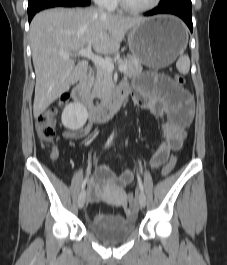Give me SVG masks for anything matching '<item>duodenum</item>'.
<instances>
[{"label":"duodenum","mask_w":227,"mask_h":265,"mask_svg":"<svg viewBox=\"0 0 227 265\" xmlns=\"http://www.w3.org/2000/svg\"><path fill=\"white\" fill-rule=\"evenodd\" d=\"M89 84L90 77L87 72L72 88L71 94L73 98L88 110L90 120L98 122L110 119L123 104L128 92L119 87L109 100L95 105L90 96Z\"/></svg>","instance_id":"duodenum-1"}]
</instances>
